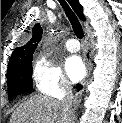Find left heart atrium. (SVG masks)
I'll use <instances>...</instances> for the list:
<instances>
[{"mask_svg": "<svg viewBox=\"0 0 122 123\" xmlns=\"http://www.w3.org/2000/svg\"><path fill=\"white\" fill-rule=\"evenodd\" d=\"M66 73L72 82L81 80L85 75V66L78 56H71L65 63Z\"/></svg>", "mask_w": 122, "mask_h": 123, "instance_id": "1", "label": "left heart atrium"}]
</instances>
